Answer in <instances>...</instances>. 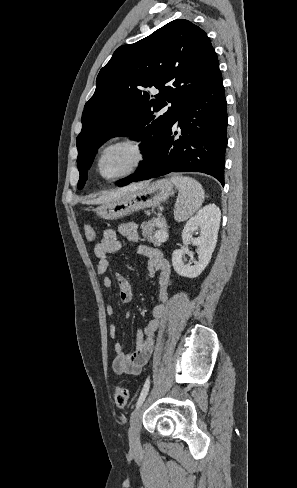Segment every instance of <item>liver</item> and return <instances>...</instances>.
I'll use <instances>...</instances> for the list:
<instances>
[{
    "label": "liver",
    "mask_w": 297,
    "mask_h": 488,
    "mask_svg": "<svg viewBox=\"0 0 297 488\" xmlns=\"http://www.w3.org/2000/svg\"><path fill=\"white\" fill-rule=\"evenodd\" d=\"M147 184H148V182H141V183H138V184H131V185H128L126 187L119 188L117 190L108 192V193L100 196L99 198L95 199L93 202L94 203H105V202H109V201L115 200L116 198H118L122 194H125L127 192H131V191H135L138 188H142V187L146 186Z\"/></svg>",
    "instance_id": "obj_1"
}]
</instances>
